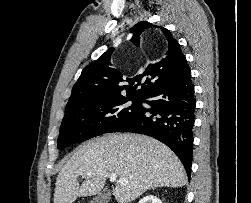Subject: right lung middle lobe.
Here are the masks:
<instances>
[{"instance_id": "right-lung-middle-lobe-1", "label": "right lung middle lobe", "mask_w": 251, "mask_h": 203, "mask_svg": "<svg viewBox=\"0 0 251 203\" xmlns=\"http://www.w3.org/2000/svg\"><path fill=\"white\" fill-rule=\"evenodd\" d=\"M135 98L91 100L67 105L60 127L57 148L111 133L142 108Z\"/></svg>"}]
</instances>
